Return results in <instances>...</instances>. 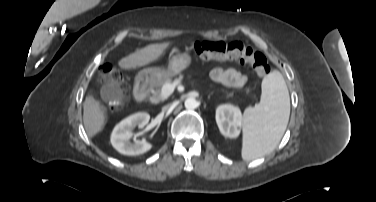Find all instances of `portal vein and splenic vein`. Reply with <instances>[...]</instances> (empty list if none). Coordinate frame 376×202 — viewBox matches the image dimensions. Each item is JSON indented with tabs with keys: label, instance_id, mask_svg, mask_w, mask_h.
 <instances>
[{
	"label": "portal vein and splenic vein",
	"instance_id": "obj_1",
	"mask_svg": "<svg viewBox=\"0 0 376 202\" xmlns=\"http://www.w3.org/2000/svg\"><path fill=\"white\" fill-rule=\"evenodd\" d=\"M180 84V81H175L173 83H166L163 85L162 89H161V94L164 96V97H168L170 96L174 89L176 88L177 85Z\"/></svg>",
	"mask_w": 376,
	"mask_h": 202
}]
</instances>
